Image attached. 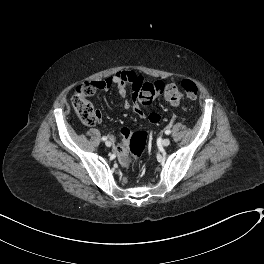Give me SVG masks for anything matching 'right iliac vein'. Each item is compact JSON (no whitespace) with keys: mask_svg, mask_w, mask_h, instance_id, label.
Returning a JSON list of instances; mask_svg holds the SVG:
<instances>
[{"mask_svg":"<svg viewBox=\"0 0 264 264\" xmlns=\"http://www.w3.org/2000/svg\"><path fill=\"white\" fill-rule=\"evenodd\" d=\"M105 145H106L107 147H111L112 143H111L110 141H106V142H105Z\"/></svg>","mask_w":264,"mask_h":264,"instance_id":"obj_1","label":"right iliac vein"}]
</instances>
